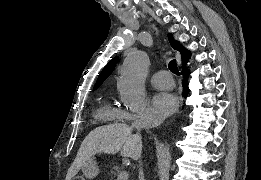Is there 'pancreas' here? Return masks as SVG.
Returning a JSON list of instances; mask_svg holds the SVG:
<instances>
[{"instance_id":"pancreas-1","label":"pancreas","mask_w":261,"mask_h":180,"mask_svg":"<svg viewBox=\"0 0 261 180\" xmlns=\"http://www.w3.org/2000/svg\"><path fill=\"white\" fill-rule=\"evenodd\" d=\"M124 169L123 165H119V163H113V165H110V169L107 170L108 176H117L121 174V170Z\"/></svg>"}]
</instances>
